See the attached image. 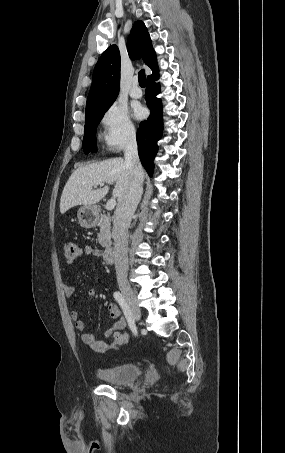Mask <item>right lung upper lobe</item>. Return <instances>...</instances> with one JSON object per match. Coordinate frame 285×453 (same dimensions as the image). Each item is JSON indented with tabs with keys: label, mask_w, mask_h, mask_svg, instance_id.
<instances>
[{
	"label": "right lung upper lobe",
	"mask_w": 285,
	"mask_h": 453,
	"mask_svg": "<svg viewBox=\"0 0 285 453\" xmlns=\"http://www.w3.org/2000/svg\"><path fill=\"white\" fill-rule=\"evenodd\" d=\"M127 49L131 59L142 58L153 73L158 71L151 39L142 21L135 22L128 37ZM119 82L120 52L116 45H112L103 52L94 68L86 114L112 104L119 93Z\"/></svg>",
	"instance_id": "obj_1"
}]
</instances>
